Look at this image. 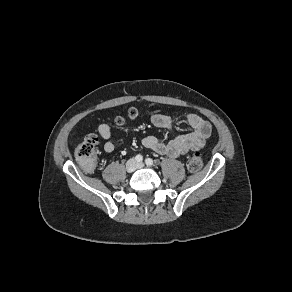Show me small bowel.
<instances>
[{
	"instance_id": "c3829d8e",
	"label": "small bowel",
	"mask_w": 292,
	"mask_h": 292,
	"mask_svg": "<svg viewBox=\"0 0 292 292\" xmlns=\"http://www.w3.org/2000/svg\"><path fill=\"white\" fill-rule=\"evenodd\" d=\"M186 121L192 128L187 134L177 135L173 133L174 122L168 115L155 113L151 116V122L154 126L166 129L172 132V138L168 142H162L155 136H146L142 139V144L146 148L172 158H176L186 153L202 148L206 140L211 135V124L197 114L189 113ZM100 137L105 140L104 150L112 153L115 150V144L110 140L111 130L109 125L101 124L98 127Z\"/></svg>"
}]
</instances>
